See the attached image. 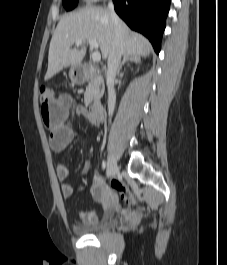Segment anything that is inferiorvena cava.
<instances>
[{"label":"inferior vena cava","mask_w":227,"mask_h":265,"mask_svg":"<svg viewBox=\"0 0 227 265\" xmlns=\"http://www.w3.org/2000/svg\"><path fill=\"white\" fill-rule=\"evenodd\" d=\"M108 10L110 11L112 21L114 23V37H113V47L112 51L108 57V70H107V87H108V113L113 114L115 103H116V93L114 89V82L116 73L119 68V64L122 56V46H123V35L120 27V19L114 11V5L112 0L108 3Z\"/></svg>","instance_id":"1"}]
</instances>
